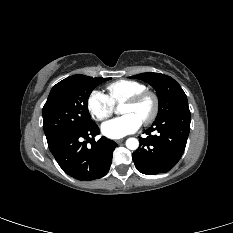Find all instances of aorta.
I'll return each mask as SVG.
<instances>
[{
	"label": "aorta",
	"mask_w": 233,
	"mask_h": 233,
	"mask_svg": "<svg viewBox=\"0 0 233 233\" xmlns=\"http://www.w3.org/2000/svg\"><path fill=\"white\" fill-rule=\"evenodd\" d=\"M126 147L130 150H136L139 147V141L136 138H128L126 140Z\"/></svg>",
	"instance_id": "762f6f07"
}]
</instances>
